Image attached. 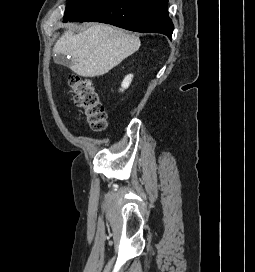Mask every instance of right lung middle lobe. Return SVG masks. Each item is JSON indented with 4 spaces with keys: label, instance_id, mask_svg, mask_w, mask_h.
Listing matches in <instances>:
<instances>
[{
    "label": "right lung middle lobe",
    "instance_id": "dd1d6c3e",
    "mask_svg": "<svg viewBox=\"0 0 255 272\" xmlns=\"http://www.w3.org/2000/svg\"><path fill=\"white\" fill-rule=\"evenodd\" d=\"M90 0H69V3L66 6V11L64 14V21L73 15L79 8Z\"/></svg>",
    "mask_w": 255,
    "mask_h": 272
}]
</instances>
